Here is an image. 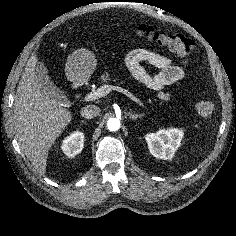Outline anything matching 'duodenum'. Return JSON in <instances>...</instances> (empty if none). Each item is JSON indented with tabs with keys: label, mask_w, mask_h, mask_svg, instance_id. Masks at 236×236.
I'll use <instances>...</instances> for the list:
<instances>
[{
	"label": "duodenum",
	"mask_w": 236,
	"mask_h": 236,
	"mask_svg": "<svg viewBox=\"0 0 236 236\" xmlns=\"http://www.w3.org/2000/svg\"><path fill=\"white\" fill-rule=\"evenodd\" d=\"M79 84L78 83H75L74 85H73V88H74V90H77L78 88H79Z\"/></svg>",
	"instance_id": "duodenum-1"
}]
</instances>
